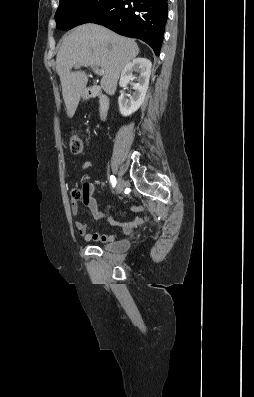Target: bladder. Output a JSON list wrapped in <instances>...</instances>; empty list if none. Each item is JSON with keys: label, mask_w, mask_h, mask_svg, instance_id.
<instances>
[{"label": "bladder", "mask_w": 254, "mask_h": 397, "mask_svg": "<svg viewBox=\"0 0 254 397\" xmlns=\"http://www.w3.org/2000/svg\"><path fill=\"white\" fill-rule=\"evenodd\" d=\"M126 245L127 244L125 241H116L105 245L103 248L109 251H120L123 250L126 247Z\"/></svg>", "instance_id": "bladder-1"}]
</instances>
